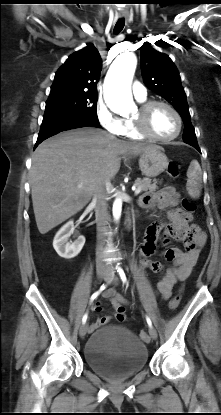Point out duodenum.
<instances>
[{
  "label": "duodenum",
  "mask_w": 221,
  "mask_h": 415,
  "mask_svg": "<svg viewBox=\"0 0 221 415\" xmlns=\"http://www.w3.org/2000/svg\"><path fill=\"white\" fill-rule=\"evenodd\" d=\"M134 223V215L129 213L126 217V227L130 229Z\"/></svg>",
  "instance_id": "duodenum-1"
}]
</instances>
